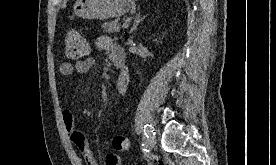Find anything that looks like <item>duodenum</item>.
<instances>
[{"instance_id": "obj_1", "label": "duodenum", "mask_w": 276, "mask_h": 165, "mask_svg": "<svg viewBox=\"0 0 276 165\" xmlns=\"http://www.w3.org/2000/svg\"><path fill=\"white\" fill-rule=\"evenodd\" d=\"M112 63L118 69H121L122 66H123V62L120 59H118V58H113L112 59Z\"/></svg>"}]
</instances>
